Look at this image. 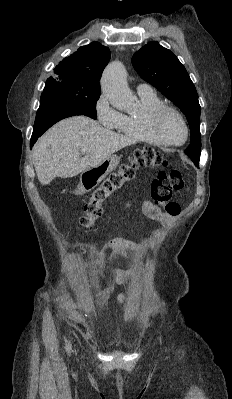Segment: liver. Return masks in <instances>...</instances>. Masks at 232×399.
Here are the masks:
<instances>
[{
  "label": "liver",
  "instance_id": "1",
  "mask_svg": "<svg viewBox=\"0 0 232 399\" xmlns=\"http://www.w3.org/2000/svg\"><path fill=\"white\" fill-rule=\"evenodd\" d=\"M134 144L133 140L102 128L98 122L74 116L55 124L36 142L33 164L40 184H50L56 176L73 178L91 170L102 160ZM82 146L89 150L82 156Z\"/></svg>",
  "mask_w": 232,
  "mask_h": 399
}]
</instances>
